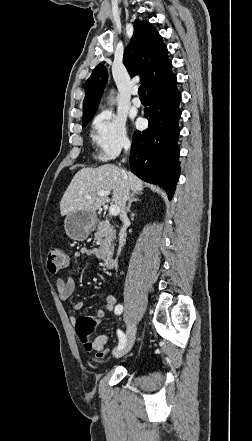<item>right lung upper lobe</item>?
<instances>
[{"label": "right lung upper lobe", "instance_id": "1", "mask_svg": "<svg viewBox=\"0 0 252 441\" xmlns=\"http://www.w3.org/2000/svg\"><path fill=\"white\" fill-rule=\"evenodd\" d=\"M168 50L157 30L149 22L136 20L134 34L124 51V64L131 76L140 75L148 90L170 64ZM108 73L104 62L95 67L85 85L83 122L90 121L102 96Z\"/></svg>", "mask_w": 252, "mask_h": 441}]
</instances>
